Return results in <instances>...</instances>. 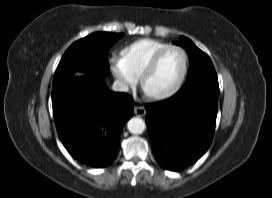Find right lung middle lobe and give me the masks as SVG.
<instances>
[{"mask_svg":"<svg viewBox=\"0 0 272 198\" xmlns=\"http://www.w3.org/2000/svg\"><path fill=\"white\" fill-rule=\"evenodd\" d=\"M123 33L96 32L73 43L64 53L56 69L53 85L76 71L105 76L109 72L107 54Z\"/></svg>","mask_w":272,"mask_h":198,"instance_id":"dd1d6c3e","label":"right lung middle lobe"}]
</instances>
